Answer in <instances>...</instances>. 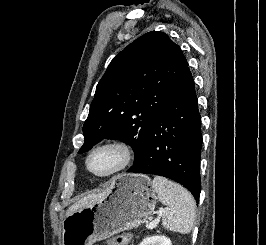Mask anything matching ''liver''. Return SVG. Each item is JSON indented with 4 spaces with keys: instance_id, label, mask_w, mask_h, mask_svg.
Instances as JSON below:
<instances>
[{
    "instance_id": "1",
    "label": "liver",
    "mask_w": 266,
    "mask_h": 245,
    "mask_svg": "<svg viewBox=\"0 0 266 245\" xmlns=\"http://www.w3.org/2000/svg\"><path fill=\"white\" fill-rule=\"evenodd\" d=\"M110 189H112V187H108V189H105L103 193H91V195L83 197V199L77 201L75 205H71V207H69L66 213L67 217H69L71 213H76V211H82V209H86V207H91V205H95V203H101V201H104L107 195H109Z\"/></svg>"
}]
</instances>
